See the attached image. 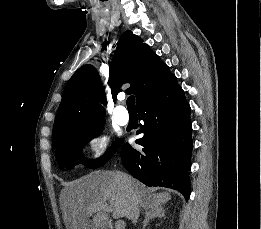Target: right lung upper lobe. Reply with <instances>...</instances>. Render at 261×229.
<instances>
[{
    "instance_id": "1",
    "label": "right lung upper lobe",
    "mask_w": 261,
    "mask_h": 229,
    "mask_svg": "<svg viewBox=\"0 0 261 229\" xmlns=\"http://www.w3.org/2000/svg\"><path fill=\"white\" fill-rule=\"evenodd\" d=\"M174 75L157 54L142 39L127 30L121 36L109 70L112 97L124 83H131L126 92L134 93L136 104L154 94ZM102 85L96 69L87 64L79 68L68 81L55 118L52 148L59 147L64 139V129L73 126L104 123L105 109Z\"/></svg>"
}]
</instances>
